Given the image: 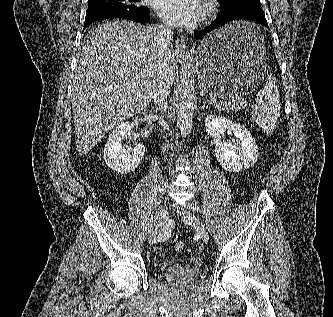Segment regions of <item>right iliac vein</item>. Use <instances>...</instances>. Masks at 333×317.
<instances>
[{
    "instance_id": "obj_1",
    "label": "right iliac vein",
    "mask_w": 333,
    "mask_h": 317,
    "mask_svg": "<svg viewBox=\"0 0 333 317\" xmlns=\"http://www.w3.org/2000/svg\"><path fill=\"white\" fill-rule=\"evenodd\" d=\"M168 229V214L166 204L160 205L157 211V225L155 231L150 235L149 243L154 244L158 242V238L163 235Z\"/></svg>"
}]
</instances>
